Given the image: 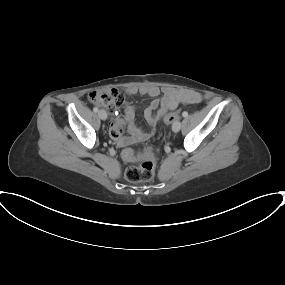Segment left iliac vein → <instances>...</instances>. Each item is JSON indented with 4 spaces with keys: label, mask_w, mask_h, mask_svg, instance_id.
<instances>
[{
    "label": "left iliac vein",
    "mask_w": 285,
    "mask_h": 285,
    "mask_svg": "<svg viewBox=\"0 0 285 285\" xmlns=\"http://www.w3.org/2000/svg\"><path fill=\"white\" fill-rule=\"evenodd\" d=\"M181 128V123L180 121H176L173 125H172V130L174 132H178Z\"/></svg>",
    "instance_id": "1"
}]
</instances>
